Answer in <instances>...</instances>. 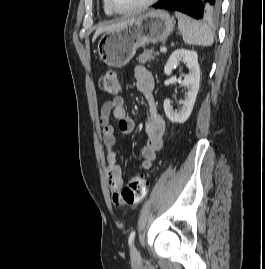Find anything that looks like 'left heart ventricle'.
Here are the masks:
<instances>
[{
	"label": "left heart ventricle",
	"instance_id": "b2bd125f",
	"mask_svg": "<svg viewBox=\"0 0 265 269\" xmlns=\"http://www.w3.org/2000/svg\"><path fill=\"white\" fill-rule=\"evenodd\" d=\"M118 9H130L138 6L146 0H112Z\"/></svg>",
	"mask_w": 265,
	"mask_h": 269
}]
</instances>
